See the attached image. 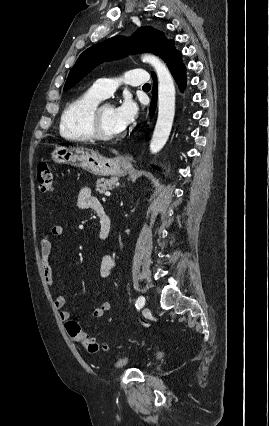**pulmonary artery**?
Listing matches in <instances>:
<instances>
[{"label":"pulmonary artery","mask_w":269,"mask_h":426,"mask_svg":"<svg viewBox=\"0 0 269 426\" xmlns=\"http://www.w3.org/2000/svg\"><path fill=\"white\" fill-rule=\"evenodd\" d=\"M149 80L145 69H131L125 74V81L132 86L146 84ZM116 88V82L112 78H103L97 80L91 87V90L101 98H107Z\"/></svg>","instance_id":"obj_1"}]
</instances>
